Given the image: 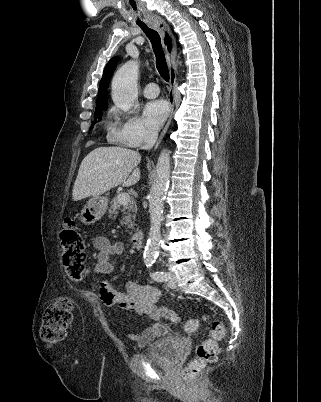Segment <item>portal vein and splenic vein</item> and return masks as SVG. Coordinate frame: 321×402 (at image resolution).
Returning a JSON list of instances; mask_svg holds the SVG:
<instances>
[{
  "label": "portal vein and splenic vein",
  "instance_id": "portal-vein-and-splenic-vein-1",
  "mask_svg": "<svg viewBox=\"0 0 321 402\" xmlns=\"http://www.w3.org/2000/svg\"><path fill=\"white\" fill-rule=\"evenodd\" d=\"M130 201V196L127 193H121L119 195V202L121 205H126Z\"/></svg>",
  "mask_w": 321,
  "mask_h": 402
}]
</instances>
